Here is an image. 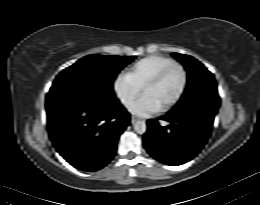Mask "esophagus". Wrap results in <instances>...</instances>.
Here are the masks:
<instances>
[{"label": "esophagus", "instance_id": "34e87169", "mask_svg": "<svg viewBox=\"0 0 260 205\" xmlns=\"http://www.w3.org/2000/svg\"><path fill=\"white\" fill-rule=\"evenodd\" d=\"M136 121V118L135 117H132V122Z\"/></svg>", "mask_w": 260, "mask_h": 205}]
</instances>
